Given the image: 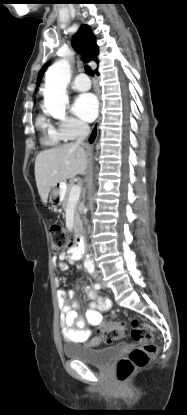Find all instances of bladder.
I'll use <instances>...</instances> for the list:
<instances>
[{"mask_svg": "<svg viewBox=\"0 0 187 415\" xmlns=\"http://www.w3.org/2000/svg\"><path fill=\"white\" fill-rule=\"evenodd\" d=\"M124 350V345L116 344L101 350H93L82 345H65L64 354L69 359L81 360L89 365L105 368Z\"/></svg>", "mask_w": 187, "mask_h": 415, "instance_id": "obj_1", "label": "bladder"}]
</instances>
